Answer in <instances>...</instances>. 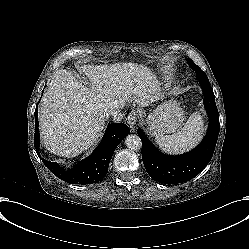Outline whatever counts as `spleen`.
<instances>
[{
  "label": "spleen",
  "mask_w": 249,
  "mask_h": 249,
  "mask_svg": "<svg viewBox=\"0 0 249 249\" xmlns=\"http://www.w3.org/2000/svg\"><path fill=\"white\" fill-rule=\"evenodd\" d=\"M203 132V118L199 112H195L177 133L156 136L155 142L164 152L180 154L192 149L201 140Z\"/></svg>",
  "instance_id": "obj_1"
}]
</instances>
